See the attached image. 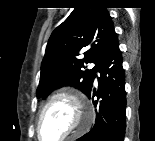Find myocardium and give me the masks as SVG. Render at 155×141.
Masks as SVG:
<instances>
[{"label": "myocardium", "mask_w": 155, "mask_h": 141, "mask_svg": "<svg viewBox=\"0 0 155 141\" xmlns=\"http://www.w3.org/2000/svg\"><path fill=\"white\" fill-rule=\"evenodd\" d=\"M67 100L70 102V104L73 106L74 109V115H75V126L65 133L61 138H59L57 141H65L68 138L78 134L79 132L85 130L92 122L93 114L91 111V108L88 106V104L78 95L73 94L68 91H59L51 96H49L44 103L42 104L38 115L36 119V132H37V137L40 140H44L41 135V120L42 117L46 111V109L55 101L57 100Z\"/></svg>", "instance_id": "obj_1"}]
</instances>
